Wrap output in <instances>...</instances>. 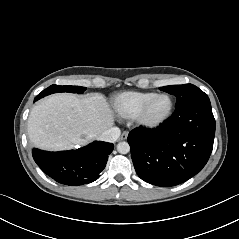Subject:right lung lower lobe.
Listing matches in <instances>:
<instances>
[{
  "mask_svg": "<svg viewBox=\"0 0 239 239\" xmlns=\"http://www.w3.org/2000/svg\"><path fill=\"white\" fill-rule=\"evenodd\" d=\"M40 99L35 98V101ZM114 145L102 141L69 151L48 152L34 148L32 155L41 170L65 185H82L99 178Z\"/></svg>",
  "mask_w": 239,
  "mask_h": 239,
  "instance_id": "right-lung-lower-lobe-1",
  "label": "right lung lower lobe"
}]
</instances>
